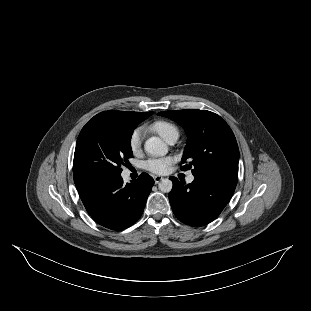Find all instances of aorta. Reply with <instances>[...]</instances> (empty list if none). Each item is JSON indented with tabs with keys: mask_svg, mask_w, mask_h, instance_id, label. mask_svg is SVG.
<instances>
[{
	"mask_svg": "<svg viewBox=\"0 0 311 311\" xmlns=\"http://www.w3.org/2000/svg\"><path fill=\"white\" fill-rule=\"evenodd\" d=\"M144 150L146 153L153 156H164L168 152V146L158 137H150L144 143ZM173 183L169 179H163L159 183V189L168 193L172 190Z\"/></svg>",
	"mask_w": 311,
	"mask_h": 311,
	"instance_id": "1",
	"label": "aorta"
}]
</instances>
